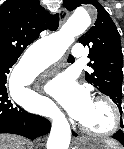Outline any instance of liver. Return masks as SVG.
Returning <instances> with one entry per match:
<instances>
[{
	"mask_svg": "<svg viewBox=\"0 0 124 149\" xmlns=\"http://www.w3.org/2000/svg\"><path fill=\"white\" fill-rule=\"evenodd\" d=\"M26 140L14 135H0V149H25Z\"/></svg>",
	"mask_w": 124,
	"mask_h": 149,
	"instance_id": "liver-1",
	"label": "liver"
}]
</instances>
